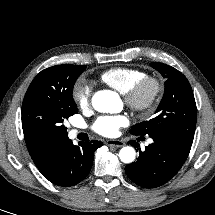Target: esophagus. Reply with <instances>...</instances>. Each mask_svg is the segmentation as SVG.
Listing matches in <instances>:
<instances>
[{
  "label": "esophagus",
  "instance_id": "1",
  "mask_svg": "<svg viewBox=\"0 0 215 215\" xmlns=\"http://www.w3.org/2000/svg\"><path fill=\"white\" fill-rule=\"evenodd\" d=\"M105 144L114 147H122L125 145V143L122 140H107Z\"/></svg>",
  "mask_w": 215,
  "mask_h": 215
}]
</instances>
